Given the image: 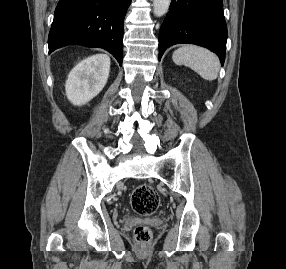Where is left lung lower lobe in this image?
Segmentation results:
<instances>
[{"label":"left lung lower lobe","instance_id":"0a47b994","mask_svg":"<svg viewBox=\"0 0 286 269\" xmlns=\"http://www.w3.org/2000/svg\"><path fill=\"white\" fill-rule=\"evenodd\" d=\"M226 41L222 0H172L159 32V59L169 46L188 43L210 49L223 64Z\"/></svg>","mask_w":286,"mask_h":269}]
</instances>
